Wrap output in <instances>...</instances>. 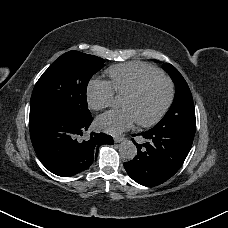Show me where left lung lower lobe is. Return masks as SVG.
<instances>
[{"mask_svg":"<svg viewBox=\"0 0 228 228\" xmlns=\"http://www.w3.org/2000/svg\"><path fill=\"white\" fill-rule=\"evenodd\" d=\"M144 141L138 144L137 155L124 163L128 175L144 186H156L171 178L184 163L193 143L195 133L152 128L133 134ZM143 138V139H142Z\"/></svg>","mask_w":228,"mask_h":228,"instance_id":"left-lung-lower-lobe-1","label":"left lung lower lobe"}]
</instances>
